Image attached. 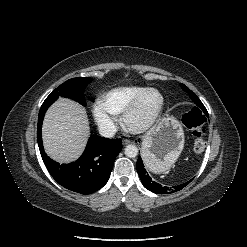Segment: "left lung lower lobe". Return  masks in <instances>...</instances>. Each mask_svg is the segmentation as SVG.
Returning a JSON list of instances; mask_svg holds the SVG:
<instances>
[{"label": "left lung lower lobe", "instance_id": "0a47b994", "mask_svg": "<svg viewBox=\"0 0 247 247\" xmlns=\"http://www.w3.org/2000/svg\"><path fill=\"white\" fill-rule=\"evenodd\" d=\"M136 168H137V172L139 174L142 184L148 190H150L151 192L157 193V194H166V193H172V192L179 191L192 181L190 180L184 184L173 187V189H170L166 186H162L161 184L157 183L156 181H154V179H152L149 176L148 172L144 168V164H143L141 157H138Z\"/></svg>", "mask_w": 247, "mask_h": 247}]
</instances>
